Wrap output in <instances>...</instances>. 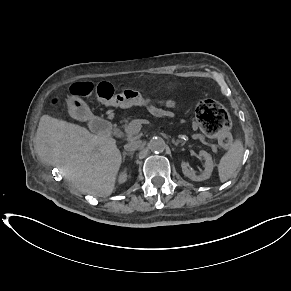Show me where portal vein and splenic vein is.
Instances as JSON below:
<instances>
[{
	"instance_id": "1",
	"label": "portal vein and splenic vein",
	"mask_w": 291,
	"mask_h": 291,
	"mask_svg": "<svg viewBox=\"0 0 291 291\" xmlns=\"http://www.w3.org/2000/svg\"><path fill=\"white\" fill-rule=\"evenodd\" d=\"M144 123V120L135 119L132 120L125 128V131L128 134H136L141 130V124Z\"/></svg>"
}]
</instances>
